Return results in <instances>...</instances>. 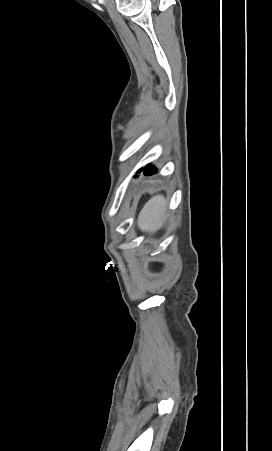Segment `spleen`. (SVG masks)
I'll use <instances>...</instances> for the list:
<instances>
[{
  "label": "spleen",
  "mask_w": 272,
  "mask_h": 451,
  "mask_svg": "<svg viewBox=\"0 0 272 451\" xmlns=\"http://www.w3.org/2000/svg\"><path fill=\"white\" fill-rule=\"evenodd\" d=\"M166 208V200L164 196H153L143 210H141L138 218V227L142 231H153L162 226V218Z\"/></svg>",
  "instance_id": "3e777b00"
}]
</instances>
